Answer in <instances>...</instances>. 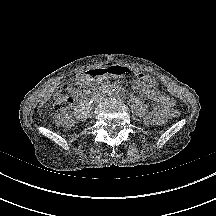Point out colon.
<instances>
[{
	"label": "colon",
	"instance_id": "5ec220e1",
	"mask_svg": "<svg viewBox=\"0 0 216 216\" xmlns=\"http://www.w3.org/2000/svg\"><path fill=\"white\" fill-rule=\"evenodd\" d=\"M72 104V98L69 95L57 92L54 96V122L62 129H69L73 126L74 120L70 114V107ZM168 116L171 118H178L180 111L173 109L169 111Z\"/></svg>",
	"mask_w": 216,
	"mask_h": 216
}]
</instances>
